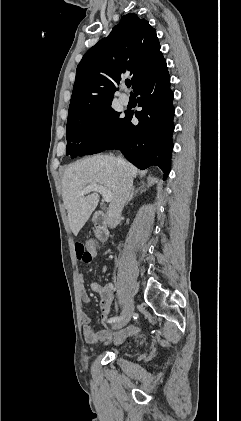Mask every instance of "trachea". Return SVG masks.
I'll use <instances>...</instances> for the list:
<instances>
[{
    "mask_svg": "<svg viewBox=\"0 0 241 421\" xmlns=\"http://www.w3.org/2000/svg\"><path fill=\"white\" fill-rule=\"evenodd\" d=\"M125 83H126L127 87H130L131 86V82L130 81H126Z\"/></svg>",
    "mask_w": 241,
    "mask_h": 421,
    "instance_id": "trachea-1",
    "label": "trachea"
}]
</instances>
